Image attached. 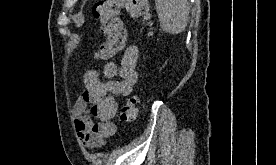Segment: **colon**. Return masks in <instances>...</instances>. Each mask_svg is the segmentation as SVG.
<instances>
[{
    "label": "colon",
    "instance_id": "5ec220e1",
    "mask_svg": "<svg viewBox=\"0 0 276 165\" xmlns=\"http://www.w3.org/2000/svg\"><path fill=\"white\" fill-rule=\"evenodd\" d=\"M121 12H127L138 20L150 34V11L147 0H99L93 7V15L99 21L103 41L96 52L99 59H110L124 47L126 31L119 18ZM138 97H130L119 110V119L130 123L137 116Z\"/></svg>",
    "mask_w": 276,
    "mask_h": 165
}]
</instances>
